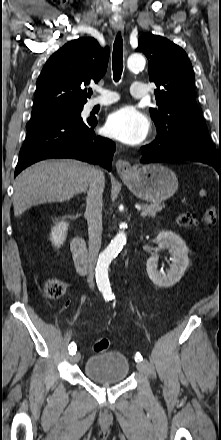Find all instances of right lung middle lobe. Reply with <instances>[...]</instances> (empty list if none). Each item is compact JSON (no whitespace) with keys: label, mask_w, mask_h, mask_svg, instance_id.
Returning a JSON list of instances; mask_svg holds the SVG:
<instances>
[{"label":"right lung middle lobe","mask_w":221,"mask_h":440,"mask_svg":"<svg viewBox=\"0 0 221 440\" xmlns=\"http://www.w3.org/2000/svg\"><path fill=\"white\" fill-rule=\"evenodd\" d=\"M82 109H83V106L55 107V108H47V109H38V110L32 111L31 117L47 115V114L81 115Z\"/></svg>","instance_id":"1"}]
</instances>
